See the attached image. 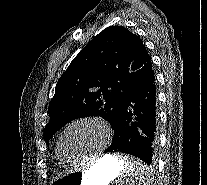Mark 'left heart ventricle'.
Returning <instances> with one entry per match:
<instances>
[{
    "label": "left heart ventricle",
    "mask_w": 207,
    "mask_h": 185,
    "mask_svg": "<svg viewBox=\"0 0 207 185\" xmlns=\"http://www.w3.org/2000/svg\"><path fill=\"white\" fill-rule=\"evenodd\" d=\"M107 138L98 124L89 121L82 122L68 130L63 140V147L71 158L80 159L100 151Z\"/></svg>",
    "instance_id": "1"
}]
</instances>
